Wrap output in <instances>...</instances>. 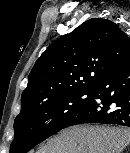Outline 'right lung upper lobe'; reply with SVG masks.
<instances>
[{
	"label": "right lung upper lobe",
	"mask_w": 130,
	"mask_h": 153,
	"mask_svg": "<svg viewBox=\"0 0 130 153\" xmlns=\"http://www.w3.org/2000/svg\"><path fill=\"white\" fill-rule=\"evenodd\" d=\"M129 62L127 35L108 19H89L37 59L21 96L20 114L69 93L92 91L103 77Z\"/></svg>",
	"instance_id": "right-lung-upper-lobe-1"
}]
</instances>
